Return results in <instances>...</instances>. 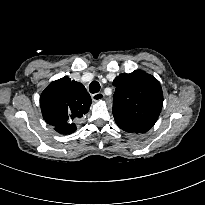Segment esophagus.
<instances>
[{
	"label": "esophagus",
	"instance_id": "1",
	"mask_svg": "<svg viewBox=\"0 0 205 205\" xmlns=\"http://www.w3.org/2000/svg\"><path fill=\"white\" fill-rule=\"evenodd\" d=\"M91 97L93 101L97 102V101H101L104 99V94L102 92H98V93L93 94Z\"/></svg>",
	"mask_w": 205,
	"mask_h": 205
}]
</instances>
